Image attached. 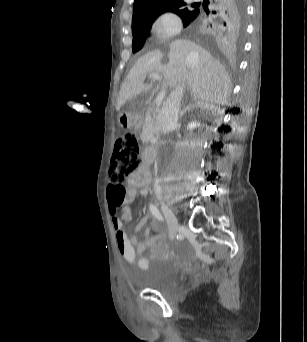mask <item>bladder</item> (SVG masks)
Returning a JSON list of instances; mask_svg holds the SVG:
<instances>
[{
  "label": "bladder",
  "mask_w": 307,
  "mask_h": 342,
  "mask_svg": "<svg viewBox=\"0 0 307 342\" xmlns=\"http://www.w3.org/2000/svg\"><path fill=\"white\" fill-rule=\"evenodd\" d=\"M180 283V272L170 262L156 259L147 267L145 287L159 292L175 289Z\"/></svg>",
  "instance_id": "obj_1"
}]
</instances>
